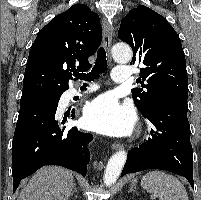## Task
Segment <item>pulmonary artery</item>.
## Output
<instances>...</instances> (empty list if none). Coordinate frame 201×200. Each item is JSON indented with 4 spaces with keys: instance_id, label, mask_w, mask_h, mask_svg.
I'll return each instance as SVG.
<instances>
[{
    "instance_id": "e3ab8cb5",
    "label": "pulmonary artery",
    "mask_w": 201,
    "mask_h": 200,
    "mask_svg": "<svg viewBox=\"0 0 201 200\" xmlns=\"http://www.w3.org/2000/svg\"><path fill=\"white\" fill-rule=\"evenodd\" d=\"M131 74V69L128 66L125 65H119L115 67V70L113 71L112 74V79L116 83H126L129 80ZM95 89V86H91L88 90L92 91ZM79 92L76 89H71L68 92L69 97H74L78 95Z\"/></svg>"
}]
</instances>
